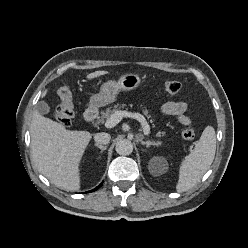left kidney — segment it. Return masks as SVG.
Here are the masks:
<instances>
[{"label":"left kidney","instance_id":"5707ae66","mask_svg":"<svg viewBox=\"0 0 248 248\" xmlns=\"http://www.w3.org/2000/svg\"><path fill=\"white\" fill-rule=\"evenodd\" d=\"M162 164V168H158V165ZM167 168V163L166 160L163 157H153L150 161H149V170L152 174H158V173H162L166 170Z\"/></svg>","mask_w":248,"mask_h":248}]
</instances>
